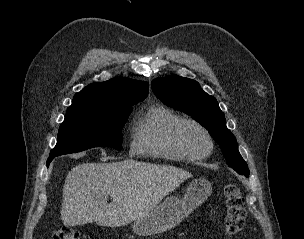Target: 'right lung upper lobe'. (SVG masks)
Returning a JSON list of instances; mask_svg holds the SVG:
<instances>
[{"label": "right lung upper lobe", "instance_id": "1", "mask_svg": "<svg viewBox=\"0 0 304 239\" xmlns=\"http://www.w3.org/2000/svg\"><path fill=\"white\" fill-rule=\"evenodd\" d=\"M148 91L147 82L128 78L92 83L75 94L67 113L119 110L144 100Z\"/></svg>", "mask_w": 304, "mask_h": 239}]
</instances>
